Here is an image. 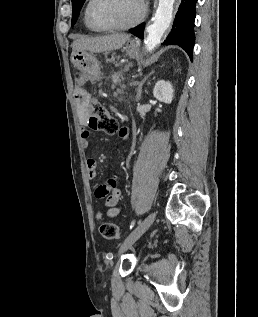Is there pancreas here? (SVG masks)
Here are the masks:
<instances>
[{"label": "pancreas", "mask_w": 258, "mask_h": 317, "mask_svg": "<svg viewBox=\"0 0 258 317\" xmlns=\"http://www.w3.org/2000/svg\"><path fill=\"white\" fill-rule=\"evenodd\" d=\"M121 78L120 77H115L113 78V89L115 90L116 93H124L125 92V87L122 86L121 84Z\"/></svg>", "instance_id": "pancreas-1"}]
</instances>
